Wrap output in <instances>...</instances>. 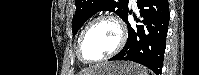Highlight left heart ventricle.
I'll return each mask as SVG.
<instances>
[{"label": "left heart ventricle", "instance_id": "b2bd125f", "mask_svg": "<svg viewBox=\"0 0 199 75\" xmlns=\"http://www.w3.org/2000/svg\"><path fill=\"white\" fill-rule=\"evenodd\" d=\"M117 42V28L111 22H99L87 33L82 45V55L87 60L99 59L112 51Z\"/></svg>", "mask_w": 199, "mask_h": 75}]
</instances>
